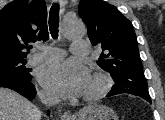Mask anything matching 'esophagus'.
<instances>
[{
  "label": "esophagus",
  "mask_w": 165,
  "mask_h": 120,
  "mask_svg": "<svg viewBox=\"0 0 165 120\" xmlns=\"http://www.w3.org/2000/svg\"><path fill=\"white\" fill-rule=\"evenodd\" d=\"M59 3L61 6L65 5V1L64 0H59ZM62 120H73V115L70 112H65L62 117Z\"/></svg>",
  "instance_id": "esophagus-1"
}]
</instances>
